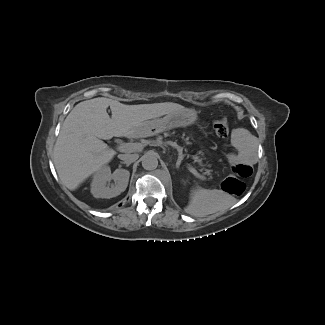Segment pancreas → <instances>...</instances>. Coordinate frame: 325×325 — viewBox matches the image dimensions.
<instances>
[{
  "mask_svg": "<svg viewBox=\"0 0 325 325\" xmlns=\"http://www.w3.org/2000/svg\"><path fill=\"white\" fill-rule=\"evenodd\" d=\"M167 143L180 149L188 158L193 160L195 166L199 170H209L211 172V166L202 156V153L198 150L197 144L185 133L180 131L169 130L166 133Z\"/></svg>",
  "mask_w": 325,
  "mask_h": 325,
  "instance_id": "obj_1",
  "label": "pancreas"
}]
</instances>
